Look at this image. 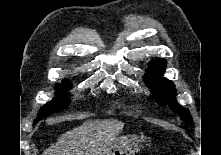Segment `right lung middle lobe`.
<instances>
[{
    "label": "right lung middle lobe",
    "instance_id": "dd1d6c3e",
    "mask_svg": "<svg viewBox=\"0 0 221 155\" xmlns=\"http://www.w3.org/2000/svg\"><path fill=\"white\" fill-rule=\"evenodd\" d=\"M70 87L71 82H69L68 80L62 81V85L57 86V92L62 97L58 98L57 100H52L41 107L38 113V117L34 120V124L37 123L39 120L48 117L50 114L61 111L63 108L66 107L68 99H66L62 94H64L66 89Z\"/></svg>",
    "mask_w": 221,
    "mask_h": 155
}]
</instances>
